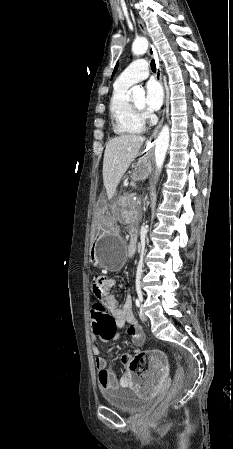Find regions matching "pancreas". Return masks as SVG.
I'll return each mask as SVG.
<instances>
[{"mask_svg": "<svg viewBox=\"0 0 233 449\" xmlns=\"http://www.w3.org/2000/svg\"><path fill=\"white\" fill-rule=\"evenodd\" d=\"M124 198L128 201V206L132 213L131 218L140 219L142 213L137 203L133 201V195H126L124 196Z\"/></svg>", "mask_w": 233, "mask_h": 449, "instance_id": "1", "label": "pancreas"}]
</instances>
